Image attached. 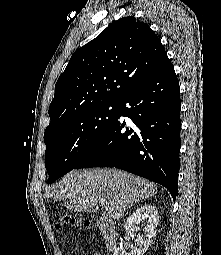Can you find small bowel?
Listing matches in <instances>:
<instances>
[{"label":"small bowel","instance_id":"c3829d8e","mask_svg":"<svg viewBox=\"0 0 221 255\" xmlns=\"http://www.w3.org/2000/svg\"><path fill=\"white\" fill-rule=\"evenodd\" d=\"M94 255H100L99 253H95Z\"/></svg>","mask_w":221,"mask_h":255}]
</instances>
